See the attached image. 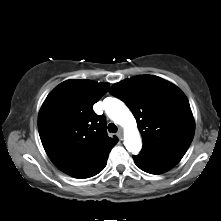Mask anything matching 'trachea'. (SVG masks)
Listing matches in <instances>:
<instances>
[{
	"mask_svg": "<svg viewBox=\"0 0 221 221\" xmlns=\"http://www.w3.org/2000/svg\"><path fill=\"white\" fill-rule=\"evenodd\" d=\"M117 126L114 124V123H110L109 125H108V131L109 132H112V133H116L117 132Z\"/></svg>",
	"mask_w": 221,
	"mask_h": 221,
	"instance_id": "1",
	"label": "trachea"
}]
</instances>
